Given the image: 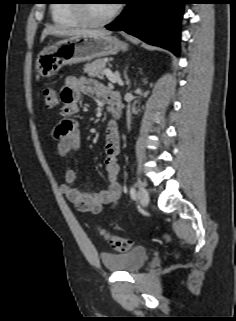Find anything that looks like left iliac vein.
Instances as JSON below:
<instances>
[{
  "instance_id": "4c4485c4",
  "label": "left iliac vein",
  "mask_w": 236,
  "mask_h": 321,
  "mask_svg": "<svg viewBox=\"0 0 236 321\" xmlns=\"http://www.w3.org/2000/svg\"><path fill=\"white\" fill-rule=\"evenodd\" d=\"M138 199L141 203L142 206H147L148 203H149V195H148V192L147 190L144 188V187H139V190H138Z\"/></svg>"
}]
</instances>
